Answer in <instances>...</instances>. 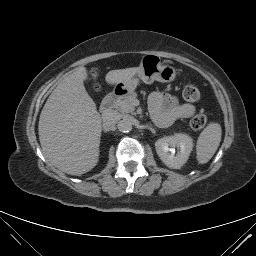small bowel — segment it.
<instances>
[{
	"instance_id": "c3829d8e",
	"label": "small bowel",
	"mask_w": 256,
	"mask_h": 256,
	"mask_svg": "<svg viewBox=\"0 0 256 256\" xmlns=\"http://www.w3.org/2000/svg\"><path fill=\"white\" fill-rule=\"evenodd\" d=\"M149 107L154 122L162 127L169 126L176 119L189 118L195 112L192 104H182L177 97L159 91L151 94Z\"/></svg>"
}]
</instances>
